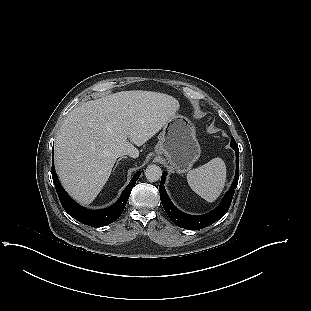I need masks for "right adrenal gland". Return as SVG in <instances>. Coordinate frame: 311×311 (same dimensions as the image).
Returning a JSON list of instances; mask_svg holds the SVG:
<instances>
[{"label":"right adrenal gland","mask_w":311,"mask_h":311,"mask_svg":"<svg viewBox=\"0 0 311 311\" xmlns=\"http://www.w3.org/2000/svg\"><path fill=\"white\" fill-rule=\"evenodd\" d=\"M123 158H125V157H121V158L117 161V163H116V165H115V167H114L113 170H115V168H116V167L118 166V164H119V161L122 160Z\"/></svg>","instance_id":"1"}]
</instances>
